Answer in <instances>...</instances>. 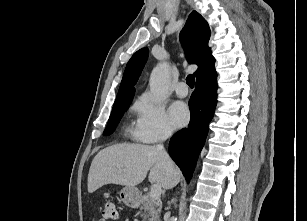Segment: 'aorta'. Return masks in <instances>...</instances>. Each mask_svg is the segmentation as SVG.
I'll use <instances>...</instances> for the list:
<instances>
[{
	"label": "aorta",
	"instance_id": "aorta-1",
	"mask_svg": "<svg viewBox=\"0 0 307 221\" xmlns=\"http://www.w3.org/2000/svg\"><path fill=\"white\" fill-rule=\"evenodd\" d=\"M169 85V64L166 62L158 63L152 70L149 80L151 94L157 102H162L165 99ZM173 221H177V218L174 217Z\"/></svg>",
	"mask_w": 307,
	"mask_h": 221
}]
</instances>
